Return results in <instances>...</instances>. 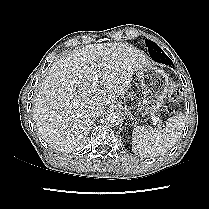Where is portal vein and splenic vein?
Instances as JSON below:
<instances>
[{
    "instance_id": "18ae733b",
    "label": "portal vein and splenic vein",
    "mask_w": 209,
    "mask_h": 209,
    "mask_svg": "<svg viewBox=\"0 0 209 209\" xmlns=\"http://www.w3.org/2000/svg\"><path fill=\"white\" fill-rule=\"evenodd\" d=\"M97 83H98V75L95 72H93L92 85L96 86ZM152 121H153V125H156L158 122L162 123V121L157 117H152Z\"/></svg>"
}]
</instances>
